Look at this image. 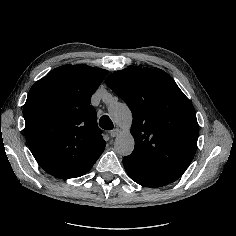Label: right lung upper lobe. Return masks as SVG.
Here are the masks:
<instances>
[{"instance_id": "obj_1", "label": "right lung upper lobe", "mask_w": 236, "mask_h": 236, "mask_svg": "<svg viewBox=\"0 0 236 236\" xmlns=\"http://www.w3.org/2000/svg\"><path fill=\"white\" fill-rule=\"evenodd\" d=\"M107 70L86 65L53 69L30 89L25 137L38 164L61 179L80 177L105 148L91 96Z\"/></svg>"}]
</instances>
